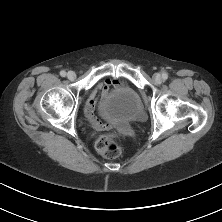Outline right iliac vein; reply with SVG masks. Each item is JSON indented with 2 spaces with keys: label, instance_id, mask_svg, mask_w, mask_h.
Listing matches in <instances>:
<instances>
[{
  "label": "right iliac vein",
  "instance_id": "obj_1",
  "mask_svg": "<svg viewBox=\"0 0 222 222\" xmlns=\"http://www.w3.org/2000/svg\"><path fill=\"white\" fill-rule=\"evenodd\" d=\"M67 77L69 80H74L76 78V73L74 71H69Z\"/></svg>",
  "mask_w": 222,
  "mask_h": 222
}]
</instances>
